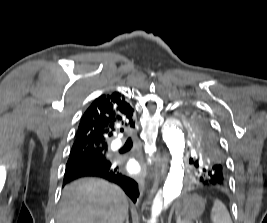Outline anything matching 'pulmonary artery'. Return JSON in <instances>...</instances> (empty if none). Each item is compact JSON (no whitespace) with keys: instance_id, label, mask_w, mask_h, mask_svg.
Masks as SVG:
<instances>
[{"instance_id":"e3ab8cb5","label":"pulmonary artery","mask_w":267,"mask_h":223,"mask_svg":"<svg viewBox=\"0 0 267 223\" xmlns=\"http://www.w3.org/2000/svg\"><path fill=\"white\" fill-rule=\"evenodd\" d=\"M116 147H119V144H116Z\"/></svg>"}]
</instances>
